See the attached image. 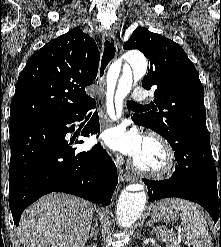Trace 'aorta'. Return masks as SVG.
Returning <instances> with one entry per match:
<instances>
[{
    "label": "aorta",
    "instance_id": "obj_1",
    "mask_svg": "<svg viewBox=\"0 0 221 247\" xmlns=\"http://www.w3.org/2000/svg\"><path fill=\"white\" fill-rule=\"evenodd\" d=\"M127 62V76L129 79L143 77L147 70L146 58L137 51H130L125 55ZM121 73V62L114 63L107 75V109L113 113V96L116 83ZM146 193L144 191H123L117 203V222L122 227L131 226L141 215L146 204Z\"/></svg>",
    "mask_w": 221,
    "mask_h": 247
}]
</instances>
